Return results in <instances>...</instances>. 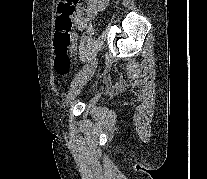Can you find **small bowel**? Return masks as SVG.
<instances>
[{
  "label": "small bowel",
  "mask_w": 207,
  "mask_h": 179,
  "mask_svg": "<svg viewBox=\"0 0 207 179\" xmlns=\"http://www.w3.org/2000/svg\"><path fill=\"white\" fill-rule=\"evenodd\" d=\"M108 0H87L86 7L78 6L74 15V21L79 30H85L88 21L93 18L99 11L105 8ZM76 36V35H75ZM79 45L75 39L71 46V52L75 54Z\"/></svg>",
  "instance_id": "small-bowel-1"
}]
</instances>
